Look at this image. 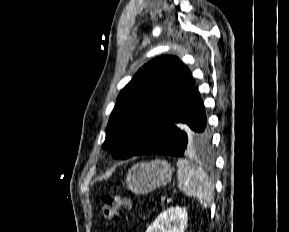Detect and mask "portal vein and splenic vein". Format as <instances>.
<instances>
[{"label": "portal vein and splenic vein", "mask_w": 289, "mask_h": 232, "mask_svg": "<svg viewBox=\"0 0 289 232\" xmlns=\"http://www.w3.org/2000/svg\"><path fill=\"white\" fill-rule=\"evenodd\" d=\"M166 201V196H161V202H165Z\"/></svg>", "instance_id": "1"}]
</instances>
